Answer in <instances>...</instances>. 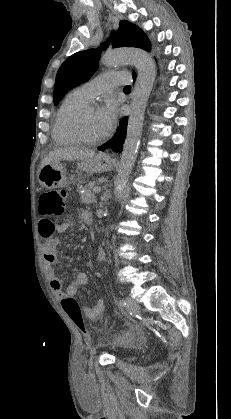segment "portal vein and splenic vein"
Masks as SVG:
<instances>
[{
	"mask_svg": "<svg viewBox=\"0 0 231 419\" xmlns=\"http://www.w3.org/2000/svg\"><path fill=\"white\" fill-rule=\"evenodd\" d=\"M101 191V188L100 187H95L94 189H93V192L94 193H99Z\"/></svg>",
	"mask_w": 231,
	"mask_h": 419,
	"instance_id": "1",
	"label": "portal vein and splenic vein"
}]
</instances>
